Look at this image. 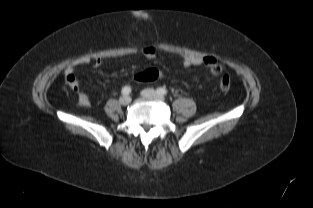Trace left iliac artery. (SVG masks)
<instances>
[{"label":"left iliac artery","instance_id":"44dca946","mask_svg":"<svg viewBox=\"0 0 313 208\" xmlns=\"http://www.w3.org/2000/svg\"><path fill=\"white\" fill-rule=\"evenodd\" d=\"M157 93L160 94V95H166L167 94V90L165 88H158L157 89Z\"/></svg>","mask_w":313,"mask_h":208}]
</instances>
